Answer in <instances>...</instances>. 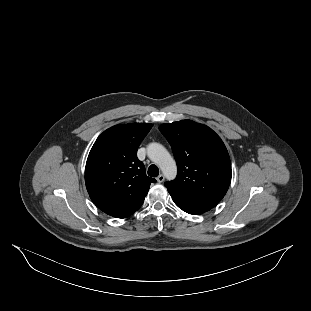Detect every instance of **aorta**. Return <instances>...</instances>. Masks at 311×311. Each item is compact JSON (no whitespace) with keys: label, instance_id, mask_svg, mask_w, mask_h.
<instances>
[{"label":"aorta","instance_id":"762f6f07","mask_svg":"<svg viewBox=\"0 0 311 311\" xmlns=\"http://www.w3.org/2000/svg\"><path fill=\"white\" fill-rule=\"evenodd\" d=\"M147 156L161 169L168 180L175 179L177 175L176 162L162 144L150 143L147 146Z\"/></svg>","mask_w":311,"mask_h":311}]
</instances>
